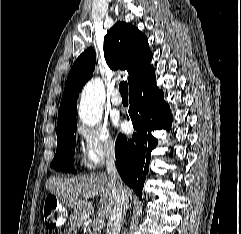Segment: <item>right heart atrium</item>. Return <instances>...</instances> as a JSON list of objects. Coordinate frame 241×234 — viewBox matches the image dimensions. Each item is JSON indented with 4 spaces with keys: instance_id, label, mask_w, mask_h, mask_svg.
I'll return each mask as SVG.
<instances>
[{
    "instance_id": "1",
    "label": "right heart atrium",
    "mask_w": 241,
    "mask_h": 234,
    "mask_svg": "<svg viewBox=\"0 0 241 234\" xmlns=\"http://www.w3.org/2000/svg\"><path fill=\"white\" fill-rule=\"evenodd\" d=\"M76 133L82 144L83 162L87 168L96 169L115 156L117 145L106 126L81 124Z\"/></svg>"
}]
</instances>
